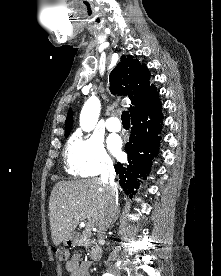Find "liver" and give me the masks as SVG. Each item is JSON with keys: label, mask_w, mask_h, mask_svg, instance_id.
Listing matches in <instances>:
<instances>
[{"label": "liver", "mask_w": 221, "mask_h": 276, "mask_svg": "<svg viewBox=\"0 0 221 276\" xmlns=\"http://www.w3.org/2000/svg\"><path fill=\"white\" fill-rule=\"evenodd\" d=\"M107 201V186L99 178L58 182L50 196L51 237L55 246L66 240L79 222H98Z\"/></svg>", "instance_id": "liver-1"}]
</instances>
